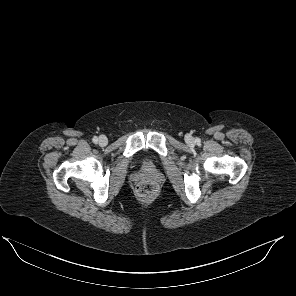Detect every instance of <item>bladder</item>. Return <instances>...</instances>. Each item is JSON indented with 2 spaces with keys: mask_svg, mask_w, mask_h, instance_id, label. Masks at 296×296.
Segmentation results:
<instances>
[{
  "mask_svg": "<svg viewBox=\"0 0 296 296\" xmlns=\"http://www.w3.org/2000/svg\"><path fill=\"white\" fill-rule=\"evenodd\" d=\"M141 167L143 170L149 171V170H153L155 165L153 164L152 161H150L149 159L145 158L142 160L141 162Z\"/></svg>",
  "mask_w": 296,
  "mask_h": 296,
  "instance_id": "obj_1",
  "label": "bladder"
}]
</instances>
